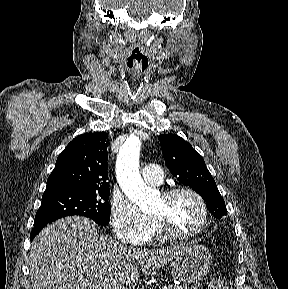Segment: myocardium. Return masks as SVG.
<instances>
[{
  "instance_id": "myocardium-1",
  "label": "myocardium",
  "mask_w": 288,
  "mask_h": 289,
  "mask_svg": "<svg viewBox=\"0 0 288 289\" xmlns=\"http://www.w3.org/2000/svg\"><path fill=\"white\" fill-rule=\"evenodd\" d=\"M183 194H187L193 197L197 201L201 209V214H202L201 221L194 230L190 232H186V233H179V232L172 230L169 227L168 223L163 218L158 217V216H152L157 226V229L166 238H169L171 240H188V239L194 238L198 236L199 234H201L206 229L209 223V211H208L207 204L204 198L194 189L189 188V187L171 188V189L164 191L161 197L165 202L168 203L174 198Z\"/></svg>"
}]
</instances>
